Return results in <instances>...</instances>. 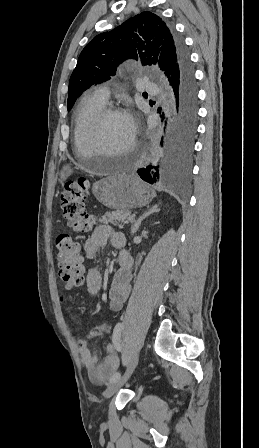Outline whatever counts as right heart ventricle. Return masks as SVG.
Returning <instances> with one entry per match:
<instances>
[{
    "mask_svg": "<svg viewBox=\"0 0 259 448\" xmlns=\"http://www.w3.org/2000/svg\"><path fill=\"white\" fill-rule=\"evenodd\" d=\"M106 105L97 98L94 91L88 92L81 103V106L75 116L73 128V144L74 148L88 149L85 141V133L87 127L91 123L94 116Z\"/></svg>",
    "mask_w": 259,
    "mask_h": 448,
    "instance_id": "right-heart-ventricle-1",
    "label": "right heart ventricle"
}]
</instances>
